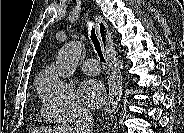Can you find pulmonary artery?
<instances>
[{
  "instance_id": "pulmonary-artery-1",
  "label": "pulmonary artery",
  "mask_w": 184,
  "mask_h": 133,
  "mask_svg": "<svg viewBox=\"0 0 184 133\" xmlns=\"http://www.w3.org/2000/svg\"><path fill=\"white\" fill-rule=\"evenodd\" d=\"M81 69L88 75H96L99 73V66L96 59L88 58L81 63Z\"/></svg>"
}]
</instances>
